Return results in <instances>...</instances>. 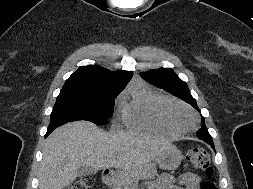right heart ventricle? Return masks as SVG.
I'll list each match as a JSON object with an SVG mask.
<instances>
[{"instance_id": "e07e8e85", "label": "right heart ventricle", "mask_w": 253, "mask_h": 189, "mask_svg": "<svg viewBox=\"0 0 253 189\" xmlns=\"http://www.w3.org/2000/svg\"><path fill=\"white\" fill-rule=\"evenodd\" d=\"M169 100L150 88L133 87L120 99L123 123L132 130L175 136L177 132L166 125L160 116L161 106Z\"/></svg>"}]
</instances>
